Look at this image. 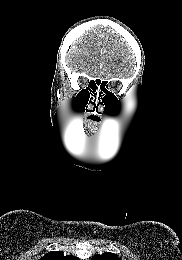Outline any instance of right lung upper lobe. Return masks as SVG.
<instances>
[{
  "mask_svg": "<svg viewBox=\"0 0 182 260\" xmlns=\"http://www.w3.org/2000/svg\"><path fill=\"white\" fill-rule=\"evenodd\" d=\"M40 260H79V259L72 255L64 256V254L60 251H52L44 255Z\"/></svg>",
  "mask_w": 182,
  "mask_h": 260,
  "instance_id": "cb5924a9",
  "label": "right lung upper lobe"
}]
</instances>
